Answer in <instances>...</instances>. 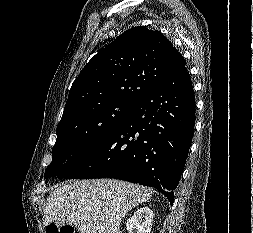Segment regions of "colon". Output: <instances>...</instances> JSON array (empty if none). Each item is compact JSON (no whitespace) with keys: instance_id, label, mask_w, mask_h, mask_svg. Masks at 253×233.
Masks as SVG:
<instances>
[{"instance_id":"colon-1","label":"colon","mask_w":253,"mask_h":233,"mask_svg":"<svg viewBox=\"0 0 253 233\" xmlns=\"http://www.w3.org/2000/svg\"><path fill=\"white\" fill-rule=\"evenodd\" d=\"M46 233H78L73 226L51 224L46 228Z\"/></svg>"}]
</instances>
